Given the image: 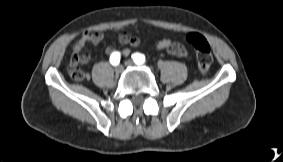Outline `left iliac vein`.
I'll list each match as a JSON object with an SVG mask.
<instances>
[{
    "instance_id": "obj_1",
    "label": "left iliac vein",
    "mask_w": 283,
    "mask_h": 162,
    "mask_svg": "<svg viewBox=\"0 0 283 162\" xmlns=\"http://www.w3.org/2000/svg\"><path fill=\"white\" fill-rule=\"evenodd\" d=\"M125 65H126V66H134L135 63H134L132 60H126V61H125Z\"/></svg>"
}]
</instances>
